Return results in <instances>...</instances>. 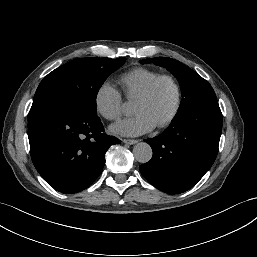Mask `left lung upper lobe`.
I'll return each mask as SVG.
<instances>
[{"instance_id": "left-lung-upper-lobe-1", "label": "left lung upper lobe", "mask_w": 257, "mask_h": 257, "mask_svg": "<svg viewBox=\"0 0 257 257\" xmlns=\"http://www.w3.org/2000/svg\"><path fill=\"white\" fill-rule=\"evenodd\" d=\"M153 62L156 65L166 67L179 81L182 93V101L175 119L210 102H217L215 92L211 85L198 73L188 68L181 62L165 57H156L141 60L140 63Z\"/></svg>"}]
</instances>
